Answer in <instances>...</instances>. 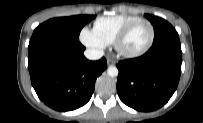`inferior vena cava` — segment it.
Returning a JSON list of instances; mask_svg holds the SVG:
<instances>
[{
	"mask_svg": "<svg viewBox=\"0 0 203 123\" xmlns=\"http://www.w3.org/2000/svg\"><path fill=\"white\" fill-rule=\"evenodd\" d=\"M84 55L89 60H98L104 55L103 50H97V49H86L84 51Z\"/></svg>",
	"mask_w": 203,
	"mask_h": 123,
	"instance_id": "obj_1",
	"label": "inferior vena cava"
}]
</instances>
